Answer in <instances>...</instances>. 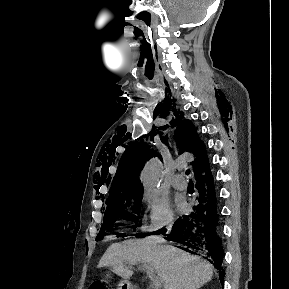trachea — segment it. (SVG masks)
<instances>
[{
  "mask_svg": "<svg viewBox=\"0 0 289 289\" xmlns=\"http://www.w3.org/2000/svg\"><path fill=\"white\" fill-rule=\"evenodd\" d=\"M190 174V170H186V175H189Z\"/></svg>",
  "mask_w": 289,
  "mask_h": 289,
  "instance_id": "1",
  "label": "trachea"
}]
</instances>
